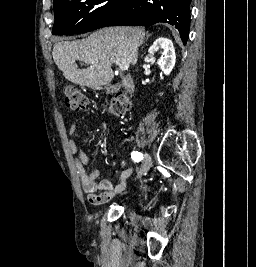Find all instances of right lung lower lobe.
Returning a JSON list of instances; mask_svg holds the SVG:
<instances>
[{"label": "right lung lower lobe", "mask_w": 256, "mask_h": 267, "mask_svg": "<svg viewBox=\"0 0 256 267\" xmlns=\"http://www.w3.org/2000/svg\"><path fill=\"white\" fill-rule=\"evenodd\" d=\"M191 1L133 0L120 17L104 26H150L158 22H164L174 25L178 29L185 45L189 34Z\"/></svg>", "instance_id": "98d812e1"}]
</instances>
